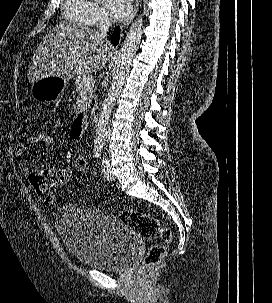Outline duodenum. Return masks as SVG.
Masks as SVG:
<instances>
[{
    "mask_svg": "<svg viewBox=\"0 0 272 303\" xmlns=\"http://www.w3.org/2000/svg\"><path fill=\"white\" fill-rule=\"evenodd\" d=\"M94 110H95V104L93 103L89 108V110L79 109L76 112V116L73 121V126L77 137H82L86 129L88 114L90 112H93Z\"/></svg>",
    "mask_w": 272,
    "mask_h": 303,
    "instance_id": "1",
    "label": "duodenum"
}]
</instances>
